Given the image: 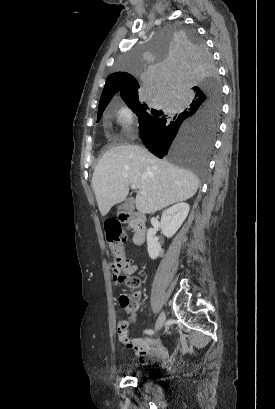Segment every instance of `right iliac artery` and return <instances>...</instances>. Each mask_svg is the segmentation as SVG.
<instances>
[{
	"mask_svg": "<svg viewBox=\"0 0 275 409\" xmlns=\"http://www.w3.org/2000/svg\"><path fill=\"white\" fill-rule=\"evenodd\" d=\"M146 332H147V333H150V334L152 333V331H151V330H147Z\"/></svg>",
	"mask_w": 275,
	"mask_h": 409,
	"instance_id": "obj_1",
	"label": "right iliac artery"
}]
</instances>
